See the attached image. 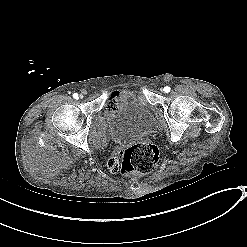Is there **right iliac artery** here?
I'll return each mask as SVG.
<instances>
[{"label":"right iliac artery","mask_w":247,"mask_h":247,"mask_svg":"<svg viewBox=\"0 0 247 247\" xmlns=\"http://www.w3.org/2000/svg\"><path fill=\"white\" fill-rule=\"evenodd\" d=\"M73 97L76 99V98H78V94L77 93H74L73 94Z\"/></svg>","instance_id":"obj_1"}]
</instances>
